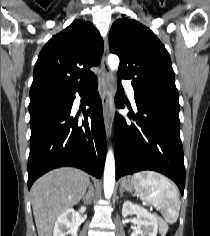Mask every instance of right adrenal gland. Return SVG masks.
Wrapping results in <instances>:
<instances>
[{
    "label": "right adrenal gland",
    "instance_id": "2a0ac1e0",
    "mask_svg": "<svg viewBox=\"0 0 210 236\" xmlns=\"http://www.w3.org/2000/svg\"><path fill=\"white\" fill-rule=\"evenodd\" d=\"M94 195V187L92 183L89 184V193L84 196V201L88 204L91 203V199Z\"/></svg>",
    "mask_w": 210,
    "mask_h": 236
}]
</instances>
